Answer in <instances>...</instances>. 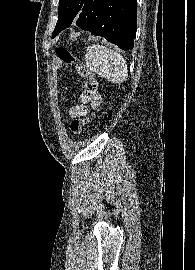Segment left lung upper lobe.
<instances>
[{
  "mask_svg": "<svg viewBox=\"0 0 195 270\" xmlns=\"http://www.w3.org/2000/svg\"><path fill=\"white\" fill-rule=\"evenodd\" d=\"M86 0H59V14L52 37L69 27L76 19Z\"/></svg>",
  "mask_w": 195,
  "mask_h": 270,
  "instance_id": "left-lung-upper-lobe-1",
  "label": "left lung upper lobe"
}]
</instances>
